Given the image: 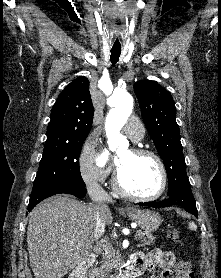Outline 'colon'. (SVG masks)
<instances>
[{
	"mask_svg": "<svg viewBox=\"0 0 221 278\" xmlns=\"http://www.w3.org/2000/svg\"><path fill=\"white\" fill-rule=\"evenodd\" d=\"M167 237L171 242L175 244L181 243L180 233L175 229L168 230ZM193 277H194V273L191 265L187 263H180L177 269V278H193Z\"/></svg>",
	"mask_w": 221,
	"mask_h": 278,
	"instance_id": "1",
	"label": "colon"
}]
</instances>
